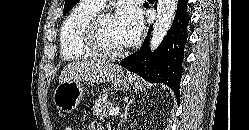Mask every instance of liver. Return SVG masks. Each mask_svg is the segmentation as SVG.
<instances>
[{"label":"liver","mask_w":249,"mask_h":130,"mask_svg":"<svg viewBox=\"0 0 249 130\" xmlns=\"http://www.w3.org/2000/svg\"><path fill=\"white\" fill-rule=\"evenodd\" d=\"M122 70L118 65L100 60H84L68 63L59 77V83L65 81H90L106 83L113 80Z\"/></svg>","instance_id":"6515ba94"}]
</instances>
